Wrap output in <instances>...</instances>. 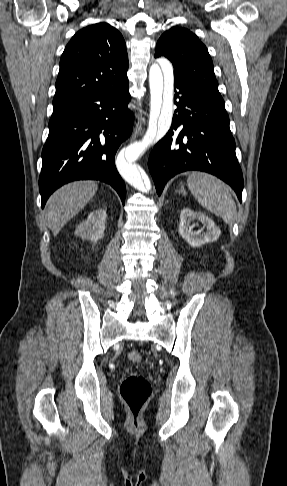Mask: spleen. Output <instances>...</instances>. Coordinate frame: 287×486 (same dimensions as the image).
Here are the masks:
<instances>
[{"mask_svg": "<svg viewBox=\"0 0 287 486\" xmlns=\"http://www.w3.org/2000/svg\"><path fill=\"white\" fill-rule=\"evenodd\" d=\"M189 190L201 206L232 225L237 216L235 201L227 185L207 173L192 172L187 179Z\"/></svg>", "mask_w": 287, "mask_h": 486, "instance_id": "obj_1", "label": "spleen"}]
</instances>
